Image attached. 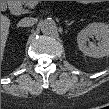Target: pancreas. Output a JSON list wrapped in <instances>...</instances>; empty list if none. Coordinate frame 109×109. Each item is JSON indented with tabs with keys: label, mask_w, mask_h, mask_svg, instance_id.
Masks as SVG:
<instances>
[{
	"label": "pancreas",
	"mask_w": 109,
	"mask_h": 109,
	"mask_svg": "<svg viewBox=\"0 0 109 109\" xmlns=\"http://www.w3.org/2000/svg\"><path fill=\"white\" fill-rule=\"evenodd\" d=\"M22 4H23L24 6H29V1H23Z\"/></svg>",
	"instance_id": "obj_1"
}]
</instances>
